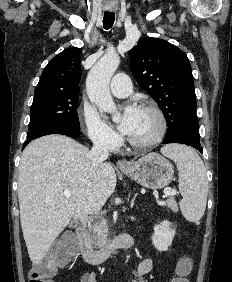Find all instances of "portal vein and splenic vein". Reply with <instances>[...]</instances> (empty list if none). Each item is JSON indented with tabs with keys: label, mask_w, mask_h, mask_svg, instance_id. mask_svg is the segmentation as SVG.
Wrapping results in <instances>:
<instances>
[{
	"label": "portal vein and splenic vein",
	"mask_w": 232,
	"mask_h": 282,
	"mask_svg": "<svg viewBox=\"0 0 232 282\" xmlns=\"http://www.w3.org/2000/svg\"><path fill=\"white\" fill-rule=\"evenodd\" d=\"M63 194H64V196L67 197V198L71 197V195H72V194H71V191L68 190V189L64 190ZM164 194H165L166 196H170V195H174V192H172L171 188H166V189L164 190Z\"/></svg>",
	"instance_id": "18ae733b"
}]
</instances>
